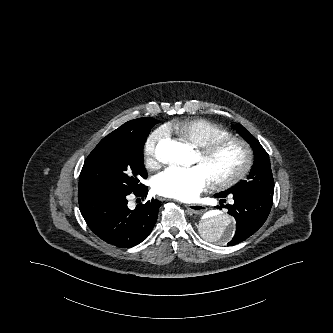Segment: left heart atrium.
<instances>
[{"instance_id": "left-heart-atrium-1", "label": "left heart atrium", "mask_w": 333, "mask_h": 333, "mask_svg": "<svg viewBox=\"0 0 333 333\" xmlns=\"http://www.w3.org/2000/svg\"><path fill=\"white\" fill-rule=\"evenodd\" d=\"M210 181V177L200 165L174 166L156 177L154 189L162 196L191 201L210 184Z\"/></svg>"}]
</instances>
